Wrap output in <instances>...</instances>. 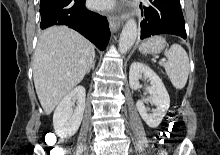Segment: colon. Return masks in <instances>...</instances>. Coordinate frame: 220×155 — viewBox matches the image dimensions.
<instances>
[{
  "instance_id": "colon-1",
  "label": "colon",
  "mask_w": 220,
  "mask_h": 155,
  "mask_svg": "<svg viewBox=\"0 0 220 155\" xmlns=\"http://www.w3.org/2000/svg\"><path fill=\"white\" fill-rule=\"evenodd\" d=\"M179 124V121L177 120V117L174 113H171L168 116V122H167V132L168 133H158L157 142L158 145H169L171 133L176 130L177 126Z\"/></svg>"
}]
</instances>
